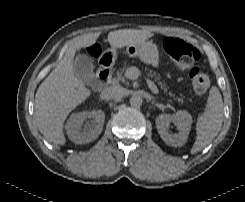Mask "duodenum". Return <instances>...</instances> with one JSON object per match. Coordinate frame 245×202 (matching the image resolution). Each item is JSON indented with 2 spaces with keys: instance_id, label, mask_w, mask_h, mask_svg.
Wrapping results in <instances>:
<instances>
[{
  "instance_id": "obj_1",
  "label": "duodenum",
  "mask_w": 245,
  "mask_h": 202,
  "mask_svg": "<svg viewBox=\"0 0 245 202\" xmlns=\"http://www.w3.org/2000/svg\"><path fill=\"white\" fill-rule=\"evenodd\" d=\"M111 62L112 58L109 55L103 54L98 63L96 83L100 89L105 88L111 78Z\"/></svg>"
}]
</instances>
